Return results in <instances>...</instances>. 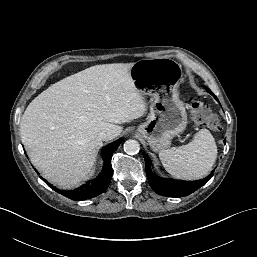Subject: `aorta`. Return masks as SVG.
I'll return each mask as SVG.
<instances>
[{
	"instance_id": "obj_1",
	"label": "aorta",
	"mask_w": 257,
	"mask_h": 257,
	"mask_svg": "<svg viewBox=\"0 0 257 257\" xmlns=\"http://www.w3.org/2000/svg\"><path fill=\"white\" fill-rule=\"evenodd\" d=\"M140 150V145L136 140L130 139L124 143V151L129 155L137 154Z\"/></svg>"
}]
</instances>
